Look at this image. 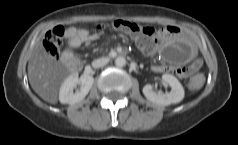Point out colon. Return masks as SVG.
Segmentation results:
<instances>
[{
  "label": "colon",
  "instance_id": "5ec220e1",
  "mask_svg": "<svg viewBox=\"0 0 238 145\" xmlns=\"http://www.w3.org/2000/svg\"><path fill=\"white\" fill-rule=\"evenodd\" d=\"M99 30L113 29L123 32L135 39L141 49L147 53H155L158 47V40L163 35V30L150 26H144L134 21L117 19L109 25L98 26ZM64 29L55 27L49 30L44 37L43 45L47 55L51 58H57L63 44ZM204 76L196 74L189 80V88L197 90L202 87Z\"/></svg>",
  "mask_w": 238,
  "mask_h": 145
}]
</instances>
